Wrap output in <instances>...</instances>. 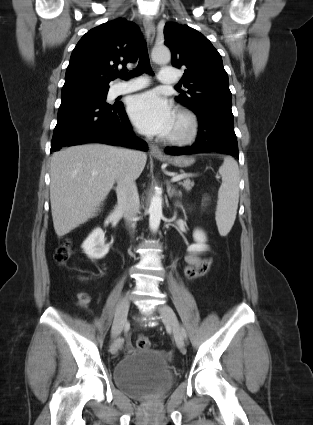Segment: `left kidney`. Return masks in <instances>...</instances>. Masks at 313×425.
Masks as SVG:
<instances>
[{
  "instance_id": "1",
  "label": "left kidney",
  "mask_w": 313,
  "mask_h": 425,
  "mask_svg": "<svg viewBox=\"0 0 313 425\" xmlns=\"http://www.w3.org/2000/svg\"><path fill=\"white\" fill-rule=\"evenodd\" d=\"M193 238L195 240V244H192L188 247V252H203L207 249V245L205 244L206 236L204 232L201 230H195L193 233Z\"/></svg>"
}]
</instances>
